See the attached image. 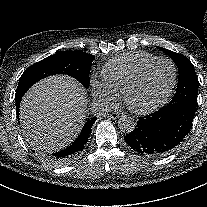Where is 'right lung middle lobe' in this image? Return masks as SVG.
<instances>
[{"mask_svg": "<svg viewBox=\"0 0 207 207\" xmlns=\"http://www.w3.org/2000/svg\"><path fill=\"white\" fill-rule=\"evenodd\" d=\"M95 57L82 51H64L49 56L28 67L19 79L16 98H21L37 81L55 74H67L89 87V72Z\"/></svg>", "mask_w": 207, "mask_h": 207, "instance_id": "right-lung-middle-lobe-1", "label": "right lung middle lobe"}]
</instances>
